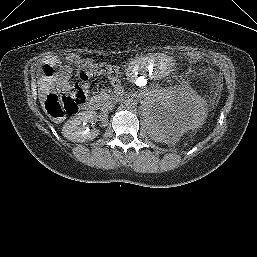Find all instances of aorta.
I'll use <instances>...</instances> for the list:
<instances>
[{
	"mask_svg": "<svg viewBox=\"0 0 257 257\" xmlns=\"http://www.w3.org/2000/svg\"><path fill=\"white\" fill-rule=\"evenodd\" d=\"M137 105V102L135 99L133 98H128L126 101H125V106L127 109H134Z\"/></svg>",
	"mask_w": 257,
	"mask_h": 257,
	"instance_id": "aorta-1",
	"label": "aorta"
}]
</instances>
